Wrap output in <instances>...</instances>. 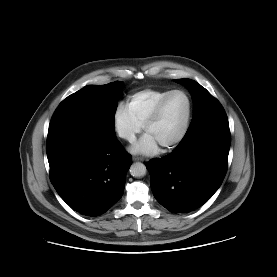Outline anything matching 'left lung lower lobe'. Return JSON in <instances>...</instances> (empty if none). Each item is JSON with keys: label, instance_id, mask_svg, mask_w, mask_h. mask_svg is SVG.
<instances>
[{"label": "left lung lower lobe", "instance_id": "obj_1", "mask_svg": "<svg viewBox=\"0 0 277 277\" xmlns=\"http://www.w3.org/2000/svg\"><path fill=\"white\" fill-rule=\"evenodd\" d=\"M231 135L227 117L201 125L163 158L146 164L156 200L170 212H190L205 204L227 171Z\"/></svg>", "mask_w": 277, "mask_h": 277}]
</instances>
